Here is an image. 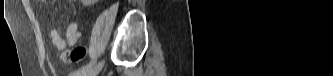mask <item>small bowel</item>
<instances>
[{"mask_svg": "<svg viewBox=\"0 0 333 76\" xmlns=\"http://www.w3.org/2000/svg\"><path fill=\"white\" fill-rule=\"evenodd\" d=\"M82 33L78 28V23L72 21L66 28L65 37H62L59 31L53 28L50 32V37L52 44L58 50H64L67 47L74 46L78 39L81 37Z\"/></svg>", "mask_w": 333, "mask_h": 76, "instance_id": "c3829d8e", "label": "small bowel"}]
</instances>
